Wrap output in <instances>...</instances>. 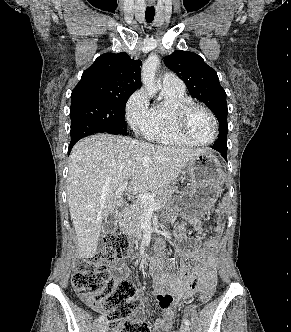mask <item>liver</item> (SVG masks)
I'll return each mask as SVG.
<instances>
[{
    "mask_svg": "<svg viewBox=\"0 0 291 332\" xmlns=\"http://www.w3.org/2000/svg\"><path fill=\"white\" fill-rule=\"evenodd\" d=\"M207 149L167 147L130 137L96 134L83 138L70 154L67 199L77 235L78 257L93 258L104 220L129 193H149L172 183L189 160Z\"/></svg>",
    "mask_w": 291,
    "mask_h": 332,
    "instance_id": "obj_1",
    "label": "liver"
}]
</instances>
